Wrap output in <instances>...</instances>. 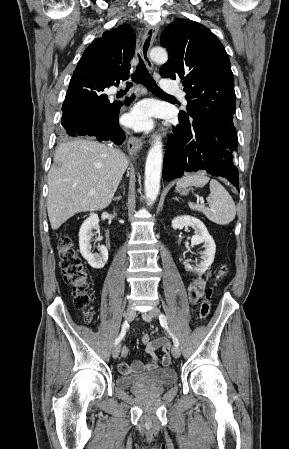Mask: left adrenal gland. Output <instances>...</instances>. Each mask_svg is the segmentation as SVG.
Here are the masks:
<instances>
[{"label": "left adrenal gland", "mask_w": 289, "mask_h": 449, "mask_svg": "<svg viewBox=\"0 0 289 449\" xmlns=\"http://www.w3.org/2000/svg\"><path fill=\"white\" fill-rule=\"evenodd\" d=\"M173 199L179 202V200H178V198H177V197H175V198H173Z\"/></svg>", "instance_id": "left-adrenal-gland-1"}]
</instances>
